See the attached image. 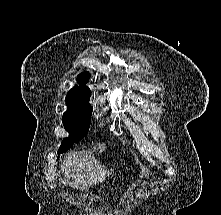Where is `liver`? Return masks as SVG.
Instances as JSON below:
<instances>
[{"mask_svg":"<svg viewBox=\"0 0 221 215\" xmlns=\"http://www.w3.org/2000/svg\"><path fill=\"white\" fill-rule=\"evenodd\" d=\"M61 172L64 175V183L74 189H82L104 182L109 177V170L100 164L94 156L81 153H72L61 164Z\"/></svg>","mask_w":221,"mask_h":215,"instance_id":"6515ba94","label":"liver"}]
</instances>
